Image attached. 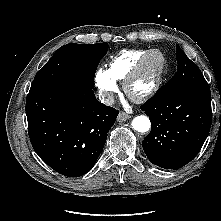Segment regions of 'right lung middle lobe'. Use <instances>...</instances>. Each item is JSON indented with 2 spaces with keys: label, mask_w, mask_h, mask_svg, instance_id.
<instances>
[{
  "label": "right lung middle lobe",
  "mask_w": 221,
  "mask_h": 221,
  "mask_svg": "<svg viewBox=\"0 0 221 221\" xmlns=\"http://www.w3.org/2000/svg\"><path fill=\"white\" fill-rule=\"evenodd\" d=\"M108 44H67L60 47L36 74L30 92L79 84L94 87V76Z\"/></svg>",
  "instance_id": "dd1d6c3e"
}]
</instances>
